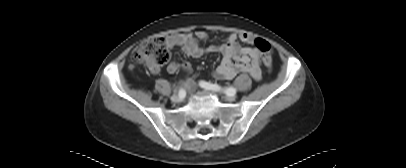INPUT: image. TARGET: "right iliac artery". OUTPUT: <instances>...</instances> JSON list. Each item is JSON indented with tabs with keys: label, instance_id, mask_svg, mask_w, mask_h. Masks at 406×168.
I'll return each instance as SVG.
<instances>
[{
	"label": "right iliac artery",
	"instance_id": "82829eb1",
	"mask_svg": "<svg viewBox=\"0 0 406 168\" xmlns=\"http://www.w3.org/2000/svg\"><path fill=\"white\" fill-rule=\"evenodd\" d=\"M185 94V91L183 89L179 90V96H183Z\"/></svg>",
	"mask_w": 406,
	"mask_h": 168
}]
</instances>
